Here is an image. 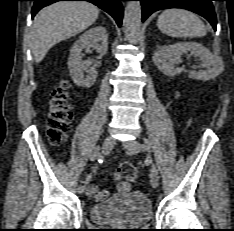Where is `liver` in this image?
<instances>
[{
  "label": "liver",
  "mask_w": 234,
  "mask_h": 231,
  "mask_svg": "<svg viewBox=\"0 0 234 231\" xmlns=\"http://www.w3.org/2000/svg\"><path fill=\"white\" fill-rule=\"evenodd\" d=\"M99 9L88 2H57L43 8L34 18L31 50L40 63L51 47L75 36L91 26Z\"/></svg>",
  "instance_id": "1"
}]
</instances>
